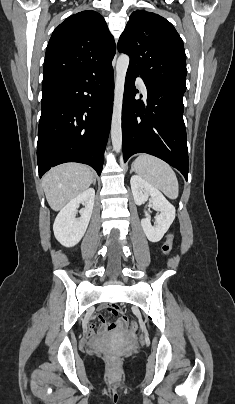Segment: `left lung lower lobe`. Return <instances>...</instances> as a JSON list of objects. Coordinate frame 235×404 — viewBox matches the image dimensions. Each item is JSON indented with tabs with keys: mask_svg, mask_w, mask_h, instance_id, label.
I'll return each instance as SVG.
<instances>
[{
	"mask_svg": "<svg viewBox=\"0 0 235 404\" xmlns=\"http://www.w3.org/2000/svg\"><path fill=\"white\" fill-rule=\"evenodd\" d=\"M138 72L128 69L122 109L124 162L136 153L154 155L178 169L188 180V149L183 120V94L144 80L147 105L135 99Z\"/></svg>",
	"mask_w": 235,
	"mask_h": 404,
	"instance_id": "1",
	"label": "left lung lower lobe"
}]
</instances>
